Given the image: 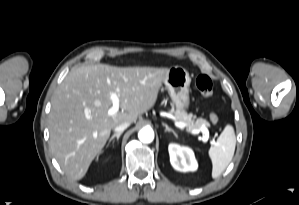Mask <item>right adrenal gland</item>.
Wrapping results in <instances>:
<instances>
[{"label":"right adrenal gland","instance_id":"2a0ac1e0","mask_svg":"<svg viewBox=\"0 0 299 205\" xmlns=\"http://www.w3.org/2000/svg\"><path fill=\"white\" fill-rule=\"evenodd\" d=\"M122 132H119V133H115L112 135V137L109 139V143L114 139L116 138V140L118 141L120 136H121Z\"/></svg>","mask_w":299,"mask_h":205}]
</instances>
